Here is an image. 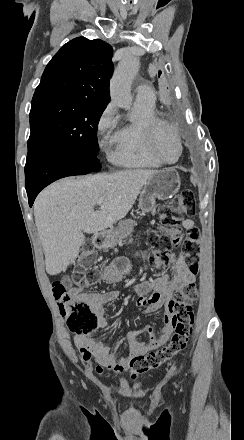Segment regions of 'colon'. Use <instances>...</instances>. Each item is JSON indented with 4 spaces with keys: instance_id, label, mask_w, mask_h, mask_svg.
<instances>
[{
    "instance_id": "obj_1",
    "label": "colon",
    "mask_w": 244,
    "mask_h": 440,
    "mask_svg": "<svg viewBox=\"0 0 244 440\" xmlns=\"http://www.w3.org/2000/svg\"><path fill=\"white\" fill-rule=\"evenodd\" d=\"M196 214L195 195L192 190L183 189L177 198L169 205H165L159 212L158 229L148 236V245L153 251L151 262L156 266L168 264V252L181 245L189 270L196 273L199 270L201 254L200 231L194 224L187 223L186 233L183 234L182 225L185 218H192ZM165 230V232H163ZM80 266L74 272L76 280L83 285H95L99 282L96 271L97 255L94 248L87 242L79 258ZM86 272L85 279L82 274ZM68 280L66 277L63 279ZM64 281L52 283L54 299L59 303L62 311L68 312L71 319H96V310H87L86 304H74ZM198 298V288L194 285H185L175 294L169 304L173 334L170 340L161 349L138 355L130 361L131 374L136 377L157 369L168 360L185 350L189 337L192 334L194 323L193 302Z\"/></svg>"
}]
</instances>
